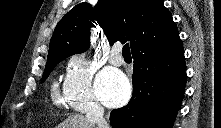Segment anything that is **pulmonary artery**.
Here are the masks:
<instances>
[{
	"label": "pulmonary artery",
	"mask_w": 221,
	"mask_h": 128,
	"mask_svg": "<svg viewBox=\"0 0 221 128\" xmlns=\"http://www.w3.org/2000/svg\"><path fill=\"white\" fill-rule=\"evenodd\" d=\"M121 45L115 44L108 56L109 63L114 66H121L124 63L123 56L120 54Z\"/></svg>",
	"instance_id": "e3ab8cb5"
}]
</instances>
